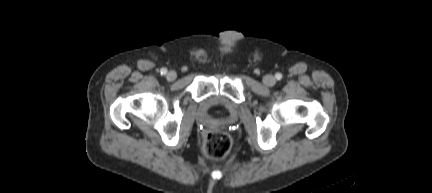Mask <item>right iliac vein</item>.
I'll use <instances>...</instances> for the list:
<instances>
[{
  "mask_svg": "<svg viewBox=\"0 0 432 193\" xmlns=\"http://www.w3.org/2000/svg\"><path fill=\"white\" fill-rule=\"evenodd\" d=\"M176 77H177V74H176L175 71H169V72L167 73V75H166V78H167V80H169V81H173V80H175Z\"/></svg>",
  "mask_w": 432,
  "mask_h": 193,
  "instance_id": "63e3f726",
  "label": "right iliac vein"
}]
</instances>
